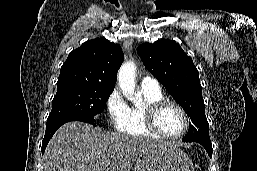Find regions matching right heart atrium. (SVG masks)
<instances>
[{"mask_svg":"<svg viewBox=\"0 0 257 171\" xmlns=\"http://www.w3.org/2000/svg\"><path fill=\"white\" fill-rule=\"evenodd\" d=\"M128 105L119 90H113L106 99V111L110 124L120 130L125 122Z\"/></svg>","mask_w":257,"mask_h":171,"instance_id":"right-heart-atrium-1","label":"right heart atrium"}]
</instances>
